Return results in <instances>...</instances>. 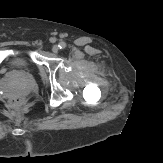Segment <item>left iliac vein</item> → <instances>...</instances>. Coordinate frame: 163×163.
Segmentation results:
<instances>
[{"mask_svg":"<svg viewBox=\"0 0 163 163\" xmlns=\"http://www.w3.org/2000/svg\"><path fill=\"white\" fill-rule=\"evenodd\" d=\"M58 51H59V46L54 45V46L52 47V52H53V53H58Z\"/></svg>","mask_w":163,"mask_h":163,"instance_id":"1","label":"left iliac vein"}]
</instances>
